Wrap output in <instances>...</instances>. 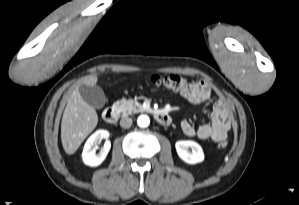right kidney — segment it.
<instances>
[{
	"instance_id": "obj_1",
	"label": "right kidney",
	"mask_w": 299,
	"mask_h": 205,
	"mask_svg": "<svg viewBox=\"0 0 299 205\" xmlns=\"http://www.w3.org/2000/svg\"><path fill=\"white\" fill-rule=\"evenodd\" d=\"M108 137H109L108 131L97 130L88 138L82 152V159L84 164L91 167H96L99 166L105 160L111 147L110 142L107 140ZM102 139H106L107 141L105 142L103 148L99 151V153H96V150L98 148V143Z\"/></svg>"
}]
</instances>
